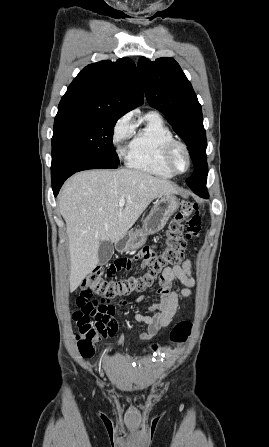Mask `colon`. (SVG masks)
Wrapping results in <instances>:
<instances>
[{"mask_svg": "<svg viewBox=\"0 0 269 447\" xmlns=\"http://www.w3.org/2000/svg\"><path fill=\"white\" fill-rule=\"evenodd\" d=\"M200 229L199 205L195 202H186L169 221L164 238L165 248L161 252L143 250L138 258L144 262L135 264L131 262L130 257H117L116 262H107L104 267V270L106 267H116L118 271H134L135 269L144 271L147 266L148 271L144 276L119 280L112 279L104 272L96 270L84 279L82 283L84 292L77 300L80 309L74 312V319L78 326L77 346L83 357H91L103 337L114 339L115 331L119 330V323L111 322V314L114 313L112 304L105 305L94 299V295L112 298L150 286L165 270L182 261L186 242L196 239ZM191 331V322L181 320L170 331L171 343L167 346L153 345L152 349L155 352L161 349L173 350L186 340Z\"/></svg>", "mask_w": 269, "mask_h": 447, "instance_id": "1", "label": "colon"}]
</instances>
